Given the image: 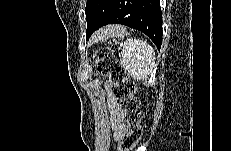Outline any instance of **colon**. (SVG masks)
Masks as SVG:
<instances>
[{
	"instance_id": "obj_1",
	"label": "colon",
	"mask_w": 231,
	"mask_h": 151,
	"mask_svg": "<svg viewBox=\"0 0 231 151\" xmlns=\"http://www.w3.org/2000/svg\"><path fill=\"white\" fill-rule=\"evenodd\" d=\"M97 70L107 75L113 85V95L118 100L127 124L126 132L120 137L118 151L132 150L141 138L142 112L135 95V83L129 78L121 63L111 54H101L96 59Z\"/></svg>"
}]
</instances>
